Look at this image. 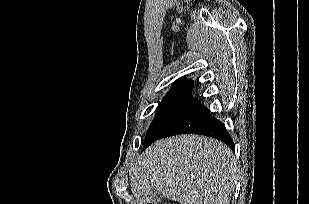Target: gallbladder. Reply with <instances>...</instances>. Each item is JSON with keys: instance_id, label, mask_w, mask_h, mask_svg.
I'll use <instances>...</instances> for the list:
<instances>
[{"instance_id": "obj_1", "label": "gallbladder", "mask_w": 309, "mask_h": 204, "mask_svg": "<svg viewBox=\"0 0 309 204\" xmlns=\"http://www.w3.org/2000/svg\"><path fill=\"white\" fill-rule=\"evenodd\" d=\"M149 198L153 202H158L161 199V193L155 187H151L149 191Z\"/></svg>"}]
</instances>
